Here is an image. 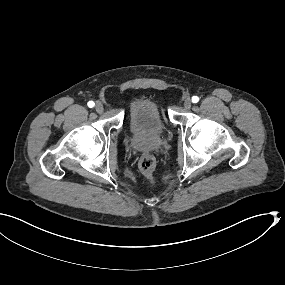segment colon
<instances>
[{
	"label": "colon",
	"mask_w": 285,
	"mask_h": 285,
	"mask_svg": "<svg viewBox=\"0 0 285 285\" xmlns=\"http://www.w3.org/2000/svg\"><path fill=\"white\" fill-rule=\"evenodd\" d=\"M156 160L152 155L146 154L139 161V169L141 173L151 182L154 181V170Z\"/></svg>",
	"instance_id": "obj_1"
}]
</instances>
